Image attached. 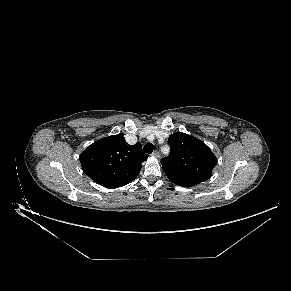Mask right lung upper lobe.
I'll return each mask as SVG.
<instances>
[{"instance_id": "cb5924a9", "label": "right lung upper lobe", "mask_w": 291, "mask_h": 291, "mask_svg": "<svg viewBox=\"0 0 291 291\" xmlns=\"http://www.w3.org/2000/svg\"><path fill=\"white\" fill-rule=\"evenodd\" d=\"M147 158L141 143L128 145L122 133L94 142L79 156L85 174L106 188L122 187L133 181Z\"/></svg>"}]
</instances>
